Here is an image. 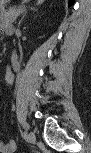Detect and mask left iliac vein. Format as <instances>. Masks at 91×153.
<instances>
[{
	"mask_svg": "<svg viewBox=\"0 0 91 153\" xmlns=\"http://www.w3.org/2000/svg\"><path fill=\"white\" fill-rule=\"evenodd\" d=\"M28 136H29V143L30 144H35L36 143V136L34 133L32 132H28Z\"/></svg>",
	"mask_w": 91,
	"mask_h": 153,
	"instance_id": "left-iliac-vein-1",
	"label": "left iliac vein"
}]
</instances>
